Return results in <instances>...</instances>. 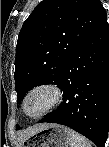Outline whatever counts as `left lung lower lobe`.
I'll return each mask as SVG.
<instances>
[{
  "mask_svg": "<svg viewBox=\"0 0 109 147\" xmlns=\"http://www.w3.org/2000/svg\"><path fill=\"white\" fill-rule=\"evenodd\" d=\"M59 107L39 123L68 126L104 147L109 128V25L105 14L70 56Z\"/></svg>",
  "mask_w": 109,
  "mask_h": 147,
  "instance_id": "0a47b994",
  "label": "left lung lower lobe"
}]
</instances>
